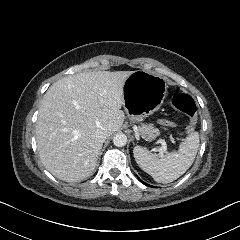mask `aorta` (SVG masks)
<instances>
[{
    "mask_svg": "<svg viewBox=\"0 0 240 240\" xmlns=\"http://www.w3.org/2000/svg\"><path fill=\"white\" fill-rule=\"evenodd\" d=\"M113 143L117 147H123L127 143V136L124 133H117L113 138Z\"/></svg>",
    "mask_w": 240,
    "mask_h": 240,
    "instance_id": "obj_1",
    "label": "aorta"
}]
</instances>
